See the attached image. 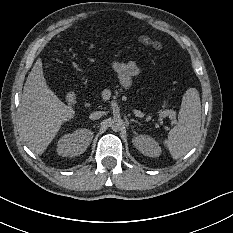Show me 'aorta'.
Instances as JSON below:
<instances>
[{
  "instance_id": "obj_1",
  "label": "aorta",
  "mask_w": 233,
  "mask_h": 233,
  "mask_svg": "<svg viewBox=\"0 0 233 233\" xmlns=\"http://www.w3.org/2000/svg\"><path fill=\"white\" fill-rule=\"evenodd\" d=\"M120 126H121V124L118 121L112 120V122H111V128L114 131H117L120 128Z\"/></svg>"
}]
</instances>
